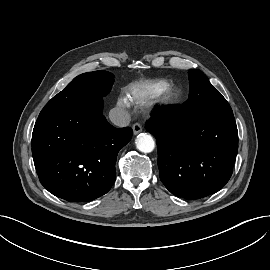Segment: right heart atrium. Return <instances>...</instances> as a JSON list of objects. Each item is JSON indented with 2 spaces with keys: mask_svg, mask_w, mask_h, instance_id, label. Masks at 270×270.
<instances>
[{
  "mask_svg": "<svg viewBox=\"0 0 270 270\" xmlns=\"http://www.w3.org/2000/svg\"><path fill=\"white\" fill-rule=\"evenodd\" d=\"M118 104L120 107H123V108H127L129 106V103L125 98H120L118 100Z\"/></svg>",
  "mask_w": 270,
  "mask_h": 270,
  "instance_id": "d8ad5b80",
  "label": "right heart atrium"
}]
</instances>
